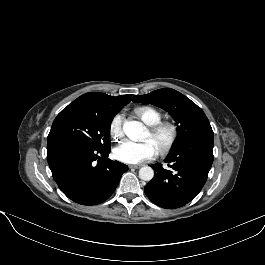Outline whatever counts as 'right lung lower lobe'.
<instances>
[{"mask_svg": "<svg viewBox=\"0 0 265 265\" xmlns=\"http://www.w3.org/2000/svg\"><path fill=\"white\" fill-rule=\"evenodd\" d=\"M110 150L95 149L76 139L49 141L47 161L60 190L82 205H96L109 198L128 170L123 163L107 161Z\"/></svg>", "mask_w": 265, "mask_h": 265, "instance_id": "obj_1", "label": "right lung lower lobe"}]
</instances>
